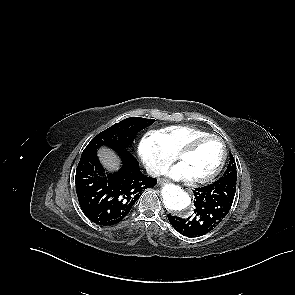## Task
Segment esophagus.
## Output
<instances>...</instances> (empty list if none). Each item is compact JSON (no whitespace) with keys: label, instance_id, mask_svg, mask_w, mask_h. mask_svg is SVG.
<instances>
[{"label":"esophagus","instance_id":"1","mask_svg":"<svg viewBox=\"0 0 295 295\" xmlns=\"http://www.w3.org/2000/svg\"><path fill=\"white\" fill-rule=\"evenodd\" d=\"M165 182H166L165 179H159V180H158V183H159L160 185L164 184Z\"/></svg>","mask_w":295,"mask_h":295}]
</instances>
